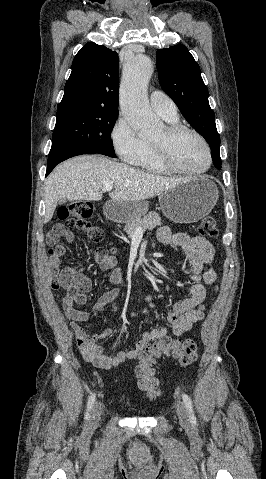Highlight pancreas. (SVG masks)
Returning a JSON list of instances; mask_svg holds the SVG:
<instances>
[{"label":"pancreas","mask_w":266,"mask_h":479,"mask_svg":"<svg viewBox=\"0 0 266 479\" xmlns=\"http://www.w3.org/2000/svg\"><path fill=\"white\" fill-rule=\"evenodd\" d=\"M162 225L161 217L158 213L152 211L143 217L134 218L129 222H126L124 231L129 237H131L138 227L143 230L153 229L156 226Z\"/></svg>","instance_id":"obj_1"}]
</instances>
